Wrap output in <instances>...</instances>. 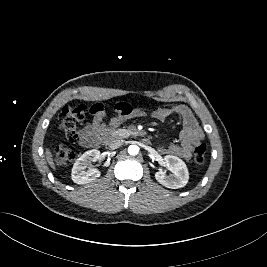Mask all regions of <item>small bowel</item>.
I'll list each match as a JSON object with an SVG mask.
<instances>
[{"label":"small bowel","instance_id":"obj_1","mask_svg":"<svg viewBox=\"0 0 267 267\" xmlns=\"http://www.w3.org/2000/svg\"><path fill=\"white\" fill-rule=\"evenodd\" d=\"M92 119L85 123L80 131V144L84 147H96L107 137L108 133L119 127L126 120L137 118L146 114L144 108H133L130 104L121 102L115 106V116L105 121L106 113L101 104L93 107ZM153 117L165 121L171 115H178L183 124L179 134L180 141L159 148L164 155H173L182 159H189L195 146L203 139V132L194 118L191 110L183 105L162 106L152 113Z\"/></svg>","mask_w":267,"mask_h":267}]
</instances>
